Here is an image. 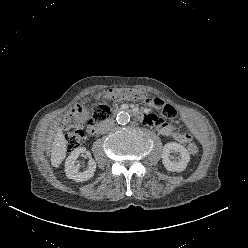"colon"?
Listing matches in <instances>:
<instances>
[{
  "label": "colon",
  "instance_id": "colon-1",
  "mask_svg": "<svg viewBox=\"0 0 248 248\" xmlns=\"http://www.w3.org/2000/svg\"><path fill=\"white\" fill-rule=\"evenodd\" d=\"M145 97L146 95L141 91L112 89L99 93L94 98L87 99L86 101L75 105L63 118L68 151L76 150L80 146L85 134L93 132L94 124L108 117L110 113V108L107 104L108 101L125 98L141 99ZM173 108L176 109L174 106ZM187 148L192 155L198 153V146L193 142L189 143Z\"/></svg>",
  "mask_w": 248,
  "mask_h": 248
}]
</instances>
